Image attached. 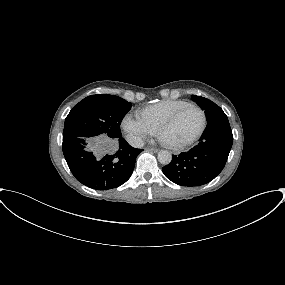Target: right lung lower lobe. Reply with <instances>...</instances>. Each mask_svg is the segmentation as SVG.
<instances>
[{
  "label": "right lung lower lobe",
  "mask_w": 285,
  "mask_h": 285,
  "mask_svg": "<svg viewBox=\"0 0 285 285\" xmlns=\"http://www.w3.org/2000/svg\"><path fill=\"white\" fill-rule=\"evenodd\" d=\"M115 153H106L103 143L87 138L63 142V154L74 177L95 190H109L125 183L132 175L135 160L143 151L131 147L124 138Z\"/></svg>",
  "instance_id": "1"
}]
</instances>
